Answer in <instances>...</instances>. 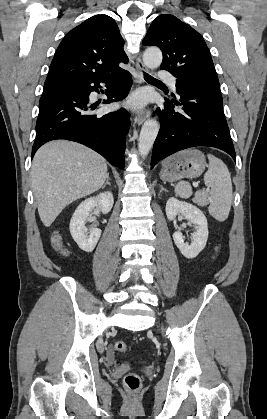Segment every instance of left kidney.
Instances as JSON below:
<instances>
[{
  "instance_id": "left-kidney-1",
  "label": "left kidney",
  "mask_w": 267,
  "mask_h": 419,
  "mask_svg": "<svg viewBox=\"0 0 267 419\" xmlns=\"http://www.w3.org/2000/svg\"><path fill=\"white\" fill-rule=\"evenodd\" d=\"M182 214L196 229L191 234L193 242L189 245L183 240L181 232H174L173 239L180 252L188 259L195 258L205 247L208 239V224L203 212L195 205L169 198L166 203V215L174 220L177 214Z\"/></svg>"
}]
</instances>
